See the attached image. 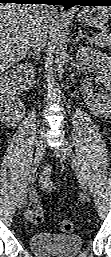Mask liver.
Wrapping results in <instances>:
<instances>
[{
  "label": "liver",
  "instance_id": "liver-1",
  "mask_svg": "<svg viewBox=\"0 0 111 257\" xmlns=\"http://www.w3.org/2000/svg\"><path fill=\"white\" fill-rule=\"evenodd\" d=\"M49 7L23 4L0 5V68L23 59L31 46L38 22L47 27Z\"/></svg>",
  "mask_w": 111,
  "mask_h": 257
}]
</instances>
